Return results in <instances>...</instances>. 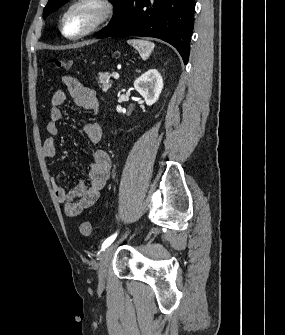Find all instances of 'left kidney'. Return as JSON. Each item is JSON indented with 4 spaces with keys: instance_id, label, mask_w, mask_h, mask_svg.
Returning a JSON list of instances; mask_svg holds the SVG:
<instances>
[{
    "instance_id": "obj_1",
    "label": "left kidney",
    "mask_w": 285,
    "mask_h": 335,
    "mask_svg": "<svg viewBox=\"0 0 285 335\" xmlns=\"http://www.w3.org/2000/svg\"><path fill=\"white\" fill-rule=\"evenodd\" d=\"M163 86L162 76L158 70H148L134 82L135 90L140 96H143L147 106H152L157 102Z\"/></svg>"
}]
</instances>
